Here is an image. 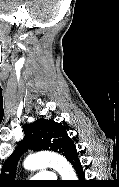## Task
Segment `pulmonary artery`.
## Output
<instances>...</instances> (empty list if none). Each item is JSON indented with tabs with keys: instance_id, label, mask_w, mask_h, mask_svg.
Wrapping results in <instances>:
<instances>
[{
	"instance_id": "obj_1",
	"label": "pulmonary artery",
	"mask_w": 119,
	"mask_h": 187,
	"mask_svg": "<svg viewBox=\"0 0 119 187\" xmlns=\"http://www.w3.org/2000/svg\"><path fill=\"white\" fill-rule=\"evenodd\" d=\"M34 179L51 180L55 178V175L51 172H41L33 177Z\"/></svg>"
}]
</instances>
